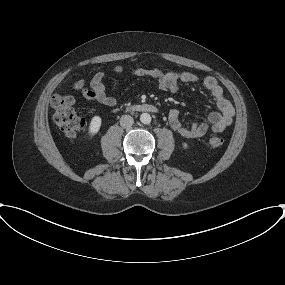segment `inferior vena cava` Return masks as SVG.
I'll use <instances>...</instances> for the list:
<instances>
[{"mask_svg":"<svg viewBox=\"0 0 285 285\" xmlns=\"http://www.w3.org/2000/svg\"><path fill=\"white\" fill-rule=\"evenodd\" d=\"M134 123V119L130 115H123L120 118V125L123 128H130Z\"/></svg>","mask_w":285,"mask_h":285,"instance_id":"obj_1","label":"inferior vena cava"}]
</instances>
